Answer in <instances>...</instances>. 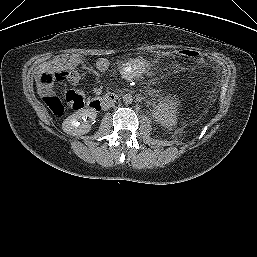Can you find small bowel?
<instances>
[{
	"label": "small bowel",
	"instance_id": "small-bowel-1",
	"mask_svg": "<svg viewBox=\"0 0 257 257\" xmlns=\"http://www.w3.org/2000/svg\"><path fill=\"white\" fill-rule=\"evenodd\" d=\"M82 61L83 58L81 56L72 55L70 57H58L44 63L38 72L39 93L43 97L53 94L51 84L41 82L40 77L42 74L56 75L60 81H67L71 84H75L79 79L78 66ZM95 66L99 72H105L109 69L110 62L107 58L100 57L96 60Z\"/></svg>",
	"mask_w": 257,
	"mask_h": 257
}]
</instances>
